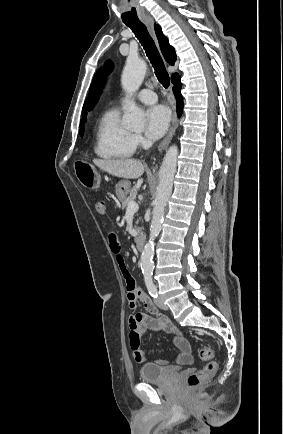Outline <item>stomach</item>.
<instances>
[{
	"instance_id": "1",
	"label": "stomach",
	"mask_w": 283,
	"mask_h": 434,
	"mask_svg": "<svg viewBox=\"0 0 283 434\" xmlns=\"http://www.w3.org/2000/svg\"><path fill=\"white\" fill-rule=\"evenodd\" d=\"M115 189L119 201L122 202L127 197L130 191V182L127 180H121L116 184Z\"/></svg>"
}]
</instances>
